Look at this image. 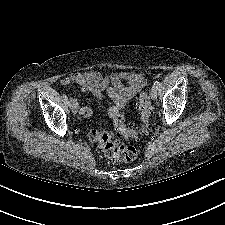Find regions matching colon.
<instances>
[{"mask_svg":"<svg viewBox=\"0 0 225 225\" xmlns=\"http://www.w3.org/2000/svg\"><path fill=\"white\" fill-rule=\"evenodd\" d=\"M141 126L133 128L125 123L122 109L114 108L110 111L116 131L123 137L137 139L147 135L151 128L153 112L148 100L147 93H142L138 98ZM94 141L102 150L105 158L111 163L131 162L137 156V150L130 144H118L112 134L105 129L98 130L93 134Z\"/></svg>","mask_w":225,"mask_h":225,"instance_id":"1","label":"colon"}]
</instances>
